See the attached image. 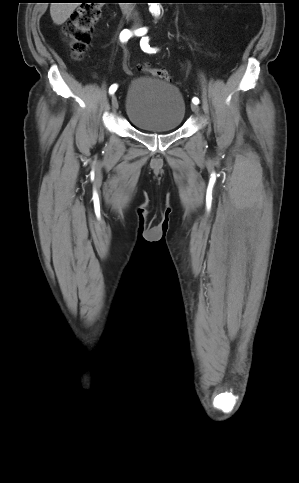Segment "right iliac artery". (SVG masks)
<instances>
[{
    "label": "right iliac artery",
    "instance_id": "82829eb1",
    "mask_svg": "<svg viewBox=\"0 0 299 483\" xmlns=\"http://www.w3.org/2000/svg\"><path fill=\"white\" fill-rule=\"evenodd\" d=\"M146 32H147V28H145V27H144V28H140V29L136 30V31L134 32V34H135V35H137V36H143V35H145V34H146ZM132 35H133V33H132L130 30H128V29H124V30H123V31L120 33V40H121V42H127V41H128V39H129V38H130ZM117 87H118V85H117V84H113V85H111V86H110V88H109V93H110V94H113V93H114V92L117 90Z\"/></svg>",
    "mask_w": 299,
    "mask_h": 483
}]
</instances>
